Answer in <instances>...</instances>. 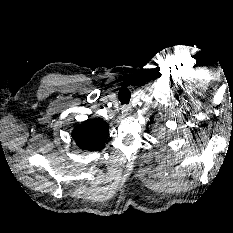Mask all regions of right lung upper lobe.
<instances>
[{"mask_svg":"<svg viewBox=\"0 0 233 233\" xmlns=\"http://www.w3.org/2000/svg\"><path fill=\"white\" fill-rule=\"evenodd\" d=\"M108 132V123L98 119H89L74 128L72 137L80 148L97 151L102 149L107 140Z\"/></svg>","mask_w":233,"mask_h":233,"instance_id":"obj_1","label":"right lung upper lobe"}]
</instances>
